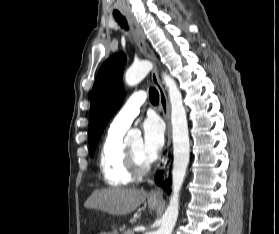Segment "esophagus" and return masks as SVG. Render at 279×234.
Wrapping results in <instances>:
<instances>
[{"label":"esophagus","instance_id":"esophagus-1","mask_svg":"<svg viewBox=\"0 0 279 234\" xmlns=\"http://www.w3.org/2000/svg\"><path fill=\"white\" fill-rule=\"evenodd\" d=\"M124 13L127 17V20L129 22L130 26L132 27V29L136 33L140 50L143 53H145L154 63V68L152 69L151 78H152L153 84L155 85V87H156V89L159 93V101H160L159 107H160V110L162 112V115H163V117L166 121V125H167V148H168V153H169L170 152V146H171L170 107H169V103H168L166 93L164 91V88H163L162 83H161L160 78H159L158 69H157V65H156V59H155L153 54L148 52L145 35H144L142 29L140 28V26L137 24L134 17L128 11H125ZM168 160H169V157H167L165 159L164 166L162 168V170H163V181L165 180V178L167 176ZM162 194H163L162 187L161 186H156L150 191L149 198L152 199V200H160V199H162Z\"/></svg>","mask_w":279,"mask_h":234}]
</instances>
